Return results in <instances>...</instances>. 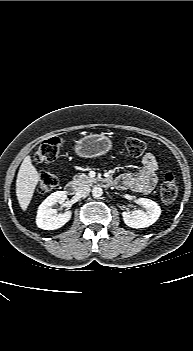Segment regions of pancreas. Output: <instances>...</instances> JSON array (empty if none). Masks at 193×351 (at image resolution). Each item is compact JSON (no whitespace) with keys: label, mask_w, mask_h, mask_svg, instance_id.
<instances>
[{"label":"pancreas","mask_w":193,"mask_h":351,"mask_svg":"<svg viewBox=\"0 0 193 351\" xmlns=\"http://www.w3.org/2000/svg\"><path fill=\"white\" fill-rule=\"evenodd\" d=\"M95 181L94 178H90L89 176H87L84 173H80L78 175H74L73 177V183L75 185H82V184H91Z\"/></svg>","instance_id":"cf45deb5"}]
</instances>
